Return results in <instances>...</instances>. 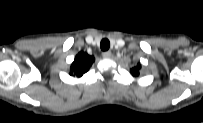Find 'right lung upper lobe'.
Segmentation results:
<instances>
[{
  "label": "right lung upper lobe",
  "mask_w": 203,
  "mask_h": 123,
  "mask_svg": "<svg viewBox=\"0 0 203 123\" xmlns=\"http://www.w3.org/2000/svg\"><path fill=\"white\" fill-rule=\"evenodd\" d=\"M94 60V57L89 56L87 53H78L74 59V62L71 64L70 75L81 77L89 70Z\"/></svg>",
  "instance_id": "obj_1"
}]
</instances>
